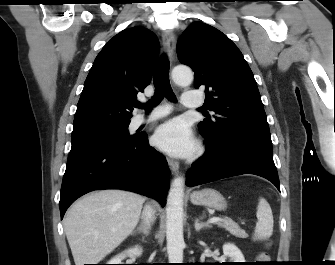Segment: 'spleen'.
<instances>
[{
    "instance_id": "spleen-1",
    "label": "spleen",
    "mask_w": 335,
    "mask_h": 265,
    "mask_svg": "<svg viewBox=\"0 0 335 265\" xmlns=\"http://www.w3.org/2000/svg\"><path fill=\"white\" fill-rule=\"evenodd\" d=\"M257 223L254 232V240H264L273 233V215L270 205L264 198L259 199L257 208Z\"/></svg>"
}]
</instances>
